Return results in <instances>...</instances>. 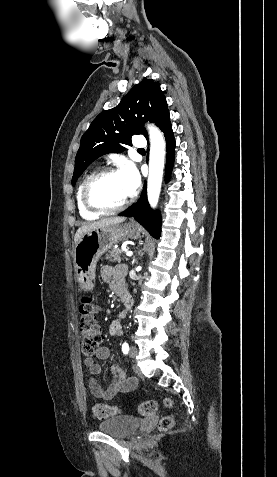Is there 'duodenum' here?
Returning a JSON list of instances; mask_svg holds the SVG:
<instances>
[{
  "instance_id": "obj_1",
  "label": "duodenum",
  "mask_w": 277,
  "mask_h": 477,
  "mask_svg": "<svg viewBox=\"0 0 277 477\" xmlns=\"http://www.w3.org/2000/svg\"><path fill=\"white\" fill-rule=\"evenodd\" d=\"M119 295H120L121 303L124 305V307L127 310L130 309L132 307V304H133V300H132L131 296L126 292H122Z\"/></svg>"
}]
</instances>
